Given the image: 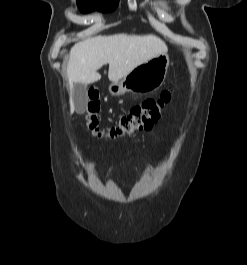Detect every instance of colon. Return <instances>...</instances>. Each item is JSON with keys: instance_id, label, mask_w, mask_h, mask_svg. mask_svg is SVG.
<instances>
[{"instance_id": "5ec220e1", "label": "colon", "mask_w": 247, "mask_h": 265, "mask_svg": "<svg viewBox=\"0 0 247 265\" xmlns=\"http://www.w3.org/2000/svg\"><path fill=\"white\" fill-rule=\"evenodd\" d=\"M170 100L171 93L164 90L158 96L148 98L142 103L132 106L116 125L104 130L100 127L98 118L100 112L99 93L97 90H90L86 124L89 130L98 137L117 139L130 136L136 132L150 129L160 119L164 107Z\"/></svg>"}]
</instances>
